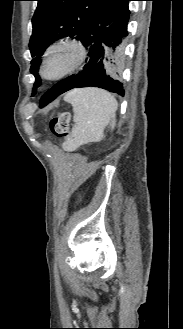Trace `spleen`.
<instances>
[{"label":"spleen","mask_w":183,"mask_h":329,"mask_svg":"<svg viewBox=\"0 0 183 329\" xmlns=\"http://www.w3.org/2000/svg\"><path fill=\"white\" fill-rule=\"evenodd\" d=\"M64 100L73 107L72 139L64 145L67 151H74L81 145L100 142L104 139L106 127L113 129L117 101L103 89L83 88L69 91Z\"/></svg>","instance_id":"obj_1"}]
</instances>
